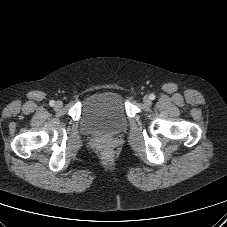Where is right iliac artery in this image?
Returning a JSON list of instances; mask_svg holds the SVG:
<instances>
[{
    "instance_id": "82829eb1",
    "label": "right iliac artery",
    "mask_w": 227,
    "mask_h": 227,
    "mask_svg": "<svg viewBox=\"0 0 227 227\" xmlns=\"http://www.w3.org/2000/svg\"><path fill=\"white\" fill-rule=\"evenodd\" d=\"M49 105H50V106H54V105H55V101H54V100H51V101L49 102Z\"/></svg>"
}]
</instances>
